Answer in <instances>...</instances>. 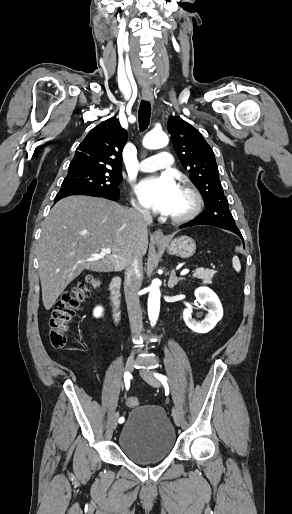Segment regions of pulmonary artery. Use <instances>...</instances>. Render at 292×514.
<instances>
[{
  "instance_id": "pulmonary-artery-1",
  "label": "pulmonary artery",
  "mask_w": 292,
  "mask_h": 514,
  "mask_svg": "<svg viewBox=\"0 0 292 514\" xmlns=\"http://www.w3.org/2000/svg\"><path fill=\"white\" fill-rule=\"evenodd\" d=\"M175 164V159L168 150H158L151 157H146L142 164L143 172L169 171Z\"/></svg>"
}]
</instances>
